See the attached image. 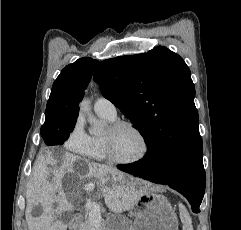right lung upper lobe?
<instances>
[{
    "label": "right lung upper lobe",
    "instance_id": "obj_1",
    "mask_svg": "<svg viewBox=\"0 0 241 230\" xmlns=\"http://www.w3.org/2000/svg\"><path fill=\"white\" fill-rule=\"evenodd\" d=\"M98 60L89 57L67 65L53 83L45 111L46 121L77 120L78 102L83 98Z\"/></svg>",
    "mask_w": 241,
    "mask_h": 230
}]
</instances>
